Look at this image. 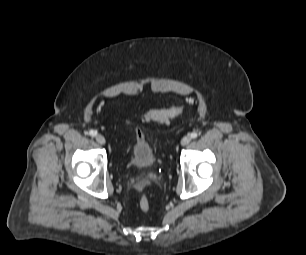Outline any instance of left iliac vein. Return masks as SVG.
<instances>
[{
    "label": "left iliac vein",
    "mask_w": 306,
    "mask_h": 255,
    "mask_svg": "<svg viewBox=\"0 0 306 255\" xmlns=\"http://www.w3.org/2000/svg\"><path fill=\"white\" fill-rule=\"evenodd\" d=\"M191 142V137L190 136H185L181 140V145L186 146Z\"/></svg>",
    "instance_id": "left-iliac-vein-1"
}]
</instances>
